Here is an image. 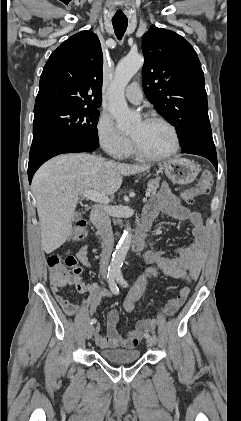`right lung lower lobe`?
<instances>
[{
	"mask_svg": "<svg viewBox=\"0 0 241 421\" xmlns=\"http://www.w3.org/2000/svg\"><path fill=\"white\" fill-rule=\"evenodd\" d=\"M96 146L80 140L60 139L31 146L28 164V178L31 183L36 170L48 159L63 153L91 152Z\"/></svg>",
	"mask_w": 241,
	"mask_h": 421,
	"instance_id": "1",
	"label": "right lung lower lobe"
}]
</instances>
